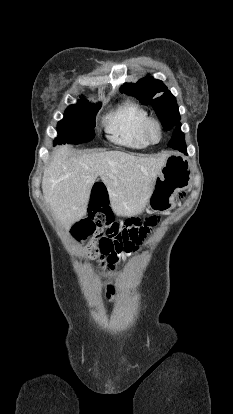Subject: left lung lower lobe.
Masks as SVG:
<instances>
[{"label": "left lung lower lobe", "mask_w": 233, "mask_h": 414, "mask_svg": "<svg viewBox=\"0 0 233 414\" xmlns=\"http://www.w3.org/2000/svg\"><path fill=\"white\" fill-rule=\"evenodd\" d=\"M180 127L181 124L176 127L168 146L186 153L184 134L181 132Z\"/></svg>", "instance_id": "0a47b994"}]
</instances>
